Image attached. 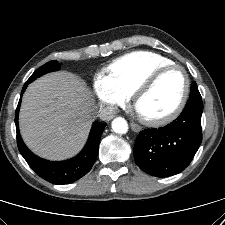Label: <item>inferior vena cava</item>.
I'll use <instances>...</instances> for the list:
<instances>
[{
	"mask_svg": "<svg viewBox=\"0 0 225 225\" xmlns=\"http://www.w3.org/2000/svg\"><path fill=\"white\" fill-rule=\"evenodd\" d=\"M117 108L113 105H101L98 112V117L102 120H109L113 118Z\"/></svg>",
	"mask_w": 225,
	"mask_h": 225,
	"instance_id": "1",
	"label": "inferior vena cava"
}]
</instances>
